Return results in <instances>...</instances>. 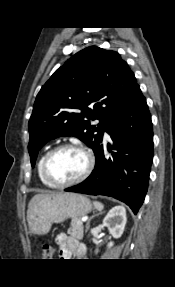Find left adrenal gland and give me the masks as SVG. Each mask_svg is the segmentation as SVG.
Returning <instances> with one entry per match:
<instances>
[{
    "label": "left adrenal gland",
    "mask_w": 175,
    "mask_h": 287,
    "mask_svg": "<svg viewBox=\"0 0 175 287\" xmlns=\"http://www.w3.org/2000/svg\"><path fill=\"white\" fill-rule=\"evenodd\" d=\"M99 214H101V213H99ZM99 214H96V215L92 216V217L87 221V224H86V228H87V229L89 228L90 221H91L93 218H95V216H98Z\"/></svg>",
    "instance_id": "1"
}]
</instances>
